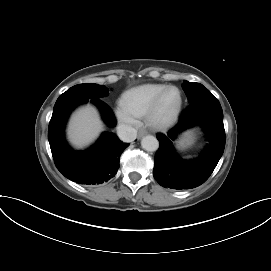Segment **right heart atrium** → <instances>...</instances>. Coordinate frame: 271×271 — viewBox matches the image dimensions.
Listing matches in <instances>:
<instances>
[{
	"label": "right heart atrium",
	"instance_id": "d8ad5b80",
	"mask_svg": "<svg viewBox=\"0 0 271 271\" xmlns=\"http://www.w3.org/2000/svg\"><path fill=\"white\" fill-rule=\"evenodd\" d=\"M116 115L118 120L127 127L136 125V118L129 114L121 105L116 108Z\"/></svg>",
	"mask_w": 271,
	"mask_h": 271
}]
</instances>
